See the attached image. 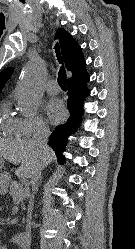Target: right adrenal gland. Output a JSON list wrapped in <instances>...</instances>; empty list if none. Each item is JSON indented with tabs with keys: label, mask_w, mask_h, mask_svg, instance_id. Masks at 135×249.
<instances>
[{
	"label": "right adrenal gland",
	"mask_w": 135,
	"mask_h": 249,
	"mask_svg": "<svg viewBox=\"0 0 135 249\" xmlns=\"http://www.w3.org/2000/svg\"><path fill=\"white\" fill-rule=\"evenodd\" d=\"M41 180H42V178H40V181H39L38 184H37V191H38V187H39L40 184H41Z\"/></svg>",
	"instance_id": "obj_1"
}]
</instances>
